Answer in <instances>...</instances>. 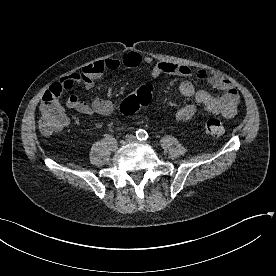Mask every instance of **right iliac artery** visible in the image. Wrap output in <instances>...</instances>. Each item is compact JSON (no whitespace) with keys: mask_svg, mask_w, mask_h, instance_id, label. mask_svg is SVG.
I'll use <instances>...</instances> for the list:
<instances>
[{"mask_svg":"<svg viewBox=\"0 0 276 276\" xmlns=\"http://www.w3.org/2000/svg\"><path fill=\"white\" fill-rule=\"evenodd\" d=\"M105 141H106L107 144H109V143H111L113 141H116V140L111 135L106 134L105 135Z\"/></svg>","mask_w":276,"mask_h":276,"instance_id":"obj_1","label":"right iliac artery"}]
</instances>
